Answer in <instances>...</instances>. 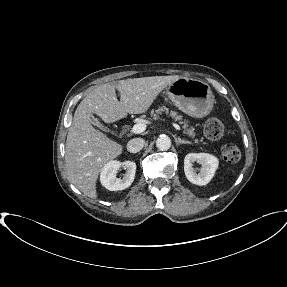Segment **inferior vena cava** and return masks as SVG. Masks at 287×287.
I'll use <instances>...</instances> for the list:
<instances>
[{"mask_svg":"<svg viewBox=\"0 0 287 287\" xmlns=\"http://www.w3.org/2000/svg\"><path fill=\"white\" fill-rule=\"evenodd\" d=\"M145 144V141L142 138H133L127 143V150L130 153L139 152Z\"/></svg>","mask_w":287,"mask_h":287,"instance_id":"602c4592","label":"inferior vena cava"}]
</instances>
